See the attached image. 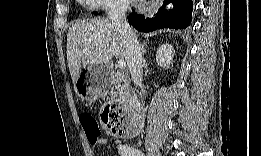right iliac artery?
Returning a JSON list of instances; mask_svg holds the SVG:
<instances>
[{
  "label": "right iliac artery",
  "instance_id": "obj_1",
  "mask_svg": "<svg viewBox=\"0 0 261 156\" xmlns=\"http://www.w3.org/2000/svg\"><path fill=\"white\" fill-rule=\"evenodd\" d=\"M119 152L123 156H143V153L133 147H130L128 145H120L119 146Z\"/></svg>",
  "mask_w": 261,
  "mask_h": 156
}]
</instances>
